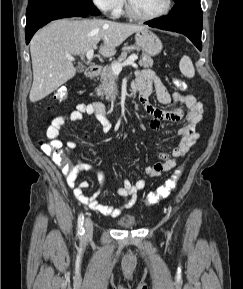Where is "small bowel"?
Returning <instances> with one entry per match:
<instances>
[{"instance_id": "c3829d8e", "label": "small bowel", "mask_w": 243, "mask_h": 289, "mask_svg": "<svg viewBox=\"0 0 243 289\" xmlns=\"http://www.w3.org/2000/svg\"><path fill=\"white\" fill-rule=\"evenodd\" d=\"M133 91L139 94V101L145 113L151 119L149 127L152 130H158L164 122L178 123L184 121L186 123V125L179 130V144L170 153L160 152V162L145 167L144 170L148 179H152L174 168L177 160L185 156L196 143L199 138L198 127L202 122L203 106L193 95L184 94L179 91L170 93L165 84L157 77L155 72L150 69L141 70L136 73L133 82ZM153 91H155L157 100L161 104L167 105L174 103L176 107L167 111L151 105L148 98ZM84 115L94 116L101 124L104 133L107 134L112 131V123L107 118L102 103H80L76 106L75 110L69 114L59 115L52 120L47 129V137L50 141L58 140L66 124L80 121ZM76 146L77 143L74 140H68L66 143L68 151L75 149ZM63 170L66 174L67 185L73 190L74 196L82 204L87 205L92 210L103 215L112 217H117L124 210L131 208L136 201L138 192L142 190L147 183V179H140L134 184H132L130 180L124 179L122 186L117 190V194L125 197V200L120 206L115 207L101 203L98 200L105 183V175L101 170L80 161L72 168H63ZM85 171L96 172L100 183V189L92 196L85 193V189L88 187L87 182L82 181L77 183L78 177Z\"/></svg>"}]
</instances>
